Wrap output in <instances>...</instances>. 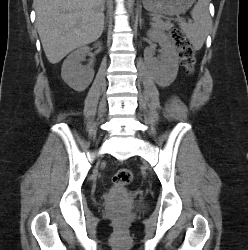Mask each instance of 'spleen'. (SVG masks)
Listing matches in <instances>:
<instances>
[{
    "mask_svg": "<svg viewBox=\"0 0 248 250\" xmlns=\"http://www.w3.org/2000/svg\"><path fill=\"white\" fill-rule=\"evenodd\" d=\"M209 0H198L191 11L194 19L193 23H186L179 20V26L186 35L193 47L198 50L204 44V41L211 28V17L208 10Z\"/></svg>",
    "mask_w": 248,
    "mask_h": 250,
    "instance_id": "obj_1",
    "label": "spleen"
}]
</instances>
